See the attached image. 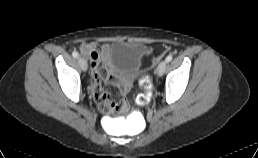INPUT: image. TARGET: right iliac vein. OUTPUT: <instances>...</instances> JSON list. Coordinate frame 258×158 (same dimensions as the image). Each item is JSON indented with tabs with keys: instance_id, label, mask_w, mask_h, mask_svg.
Returning a JSON list of instances; mask_svg holds the SVG:
<instances>
[{
	"instance_id": "1",
	"label": "right iliac vein",
	"mask_w": 258,
	"mask_h": 158,
	"mask_svg": "<svg viewBox=\"0 0 258 158\" xmlns=\"http://www.w3.org/2000/svg\"><path fill=\"white\" fill-rule=\"evenodd\" d=\"M78 63L83 71H86L88 68L87 62L83 57H78Z\"/></svg>"
}]
</instances>
